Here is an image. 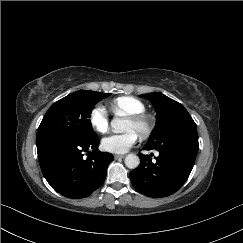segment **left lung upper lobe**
Here are the masks:
<instances>
[{
  "mask_svg": "<svg viewBox=\"0 0 243 243\" xmlns=\"http://www.w3.org/2000/svg\"><path fill=\"white\" fill-rule=\"evenodd\" d=\"M141 97L150 100L157 111L156 125L147 143L160 142L185 130L196 128L192 117L179 102L162 93H149Z\"/></svg>",
  "mask_w": 243,
  "mask_h": 243,
  "instance_id": "5c2ea615",
  "label": "left lung upper lobe"
}]
</instances>
